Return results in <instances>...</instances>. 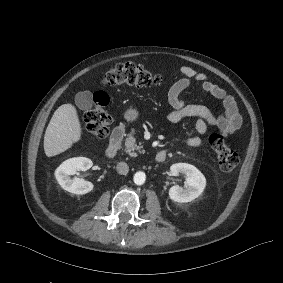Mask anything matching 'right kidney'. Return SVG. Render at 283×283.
Instances as JSON below:
<instances>
[{
    "mask_svg": "<svg viewBox=\"0 0 283 283\" xmlns=\"http://www.w3.org/2000/svg\"><path fill=\"white\" fill-rule=\"evenodd\" d=\"M93 163L86 157H74L64 161L56 170L55 177L60 186L74 194H86L93 189V184L80 178H71L78 171H86Z\"/></svg>",
    "mask_w": 283,
    "mask_h": 283,
    "instance_id": "ca27d5eb",
    "label": "right kidney"
}]
</instances>
